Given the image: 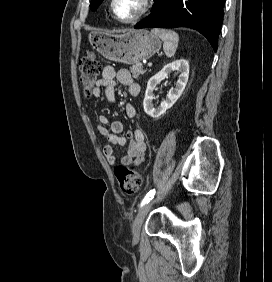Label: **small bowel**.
<instances>
[{"mask_svg":"<svg viewBox=\"0 0 272 282\" xmlns=\"http://www.w3.org/2000/svg\"><path fill=\"white\" fill-rule=\"evenodd\" d=\"M116 80L127 87L130 95L137 96L140 93L139 84L132 79L128 70L107 66L103 70L102 78L97 82V85L93 90L94 97L97 98L104 92L109 102H115ZM125 111L129 118H133L136 115V108L133 104H127ZM107 124L110 125L111 131L104 127V125ZM97 128L108 141V144L104 147V154L108 163L111 166H114L117 163L114 147L124 146L126 143V139L122 134L124 130L123 123L118 120L111 121L107 116L100 115ZM128 137L130 141V150L128 154L122 157L121 164L130 167L138 166L145 160L147 149L145 133L141 129H135L133 132L128 133Z\"/></svg>","mask_w":272,"mask_h":282,"instance_id":"obj_1","label":"small bowel"}]
</instances>
